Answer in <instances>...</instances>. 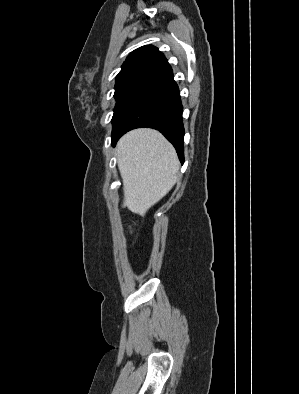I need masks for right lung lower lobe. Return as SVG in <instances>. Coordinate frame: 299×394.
<instances>
[{
    "instance_id": "1",
    "label": "right lung lower lobe",
    "mask_w": 299,
    "mask_h": 394,
    "mask_svg": "<svg viewBox=\"0 0 299 394\" xmlns=\"http://www.w3.org/2000/svg\"><path fill=\"white\" fill-rule=\"evenodd\" d=\"M182 104L173 73L148 88L124 113L112 131L111 144L129 130L148 127L159 130L184 162Z\"/></svg>"
}]
</instances>
